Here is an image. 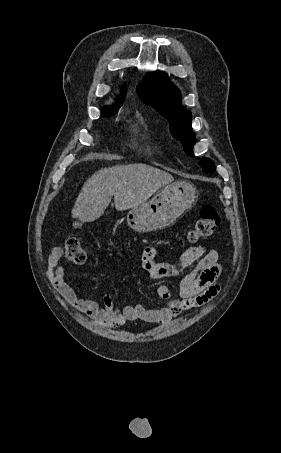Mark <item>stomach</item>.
I'll return each instance as SVG.
<instances>
[{"label": "stomach", "instance_id": "stomach-1", "mask_svg": "<svg viewBox=\"0 0 281 453\" xmlns=\"http://www.w3.org/2000/svg\"><path fill=\"white\" fill-rule=\"evenodd\" d=\"M197 198L194 184L176 180L165 184L151 200L137 204L127 214L128 227L137 233H151L170 227L179 216L191 208Z\"/></svg>", "mask_w": 281, "mask_h": 453}]
</instances>
